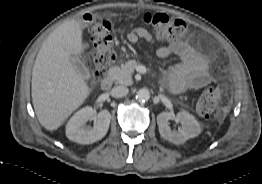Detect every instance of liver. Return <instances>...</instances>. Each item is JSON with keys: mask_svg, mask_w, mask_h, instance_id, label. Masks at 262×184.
Wrapping results in <instances>:
<instances>
[{"mask_svg": "<svg viewBox=\"0 0 262 184\" xmlns=\"http://www.w3.org/2000/svg\"><path fill=\"white\" fill-rule=\"evenodd\" d=\"M83 52L82 29L77 20L58 26L42 44L32 71V103L40 124L49 131L63 122L90 95L72 59Z\"/></svg>", "mask_w": 262, "mask_h": 184, "instance_id": "1", "label": "liver"}]
</instances>
